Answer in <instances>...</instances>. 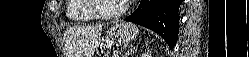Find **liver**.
<instances>
[{
    "label": "liver",
    "mask_w": 249,
    "mask_h": 57,
    "mask_svg": "<svg viewBox=\"0 0 249 57\" xmlns=\"http://www.w3.org/2000/svg\"><path fill=\"white\" fill-rule=\"evenodd\" d=\"M102 26H76L66 31L72 57H92L99 47Z\"/></svg>",
    "instance_id": "liver-1"
}]
</instances>
